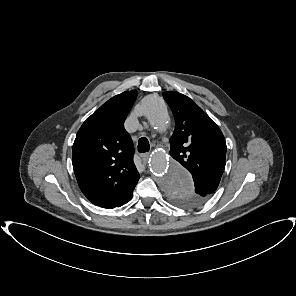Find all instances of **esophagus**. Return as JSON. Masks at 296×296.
I'll return each mask as SVG.
<instances>
[{
  "label": "esophagus",
  "mask_w": 296,
  "mask_h": 296,
  "mask_svg": "<svg viewBox=\"0 0 296 296\" xmlns=\"http://www.w3.org/2000/svg\"><path fill=\"white\" fill-rule=\"evenodd\" d=\"M149 157H150L149 153L141 154V158H142L143 163H146L148 161Z\"/></svg>",
  "instance_id": "obj_1"
}]
</instances>
